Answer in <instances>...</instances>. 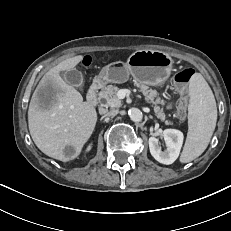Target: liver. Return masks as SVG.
<instances>
[{
    "mask_svg": "<svg viewBox=\"0 0 231 231\" xmlns=\"http://www.w3.org/2000/svg\"><path fill=\"white\" fill-rule=\"evenodd\" d=\"M82 55L67 58L51 68L37 86L28 110L30 135L47 156L66 162L77 156L92 135L97 113L82 95L60 76L74 69ZM67 148L74 153L68 156Z\"/></svg>",
    "mask_w": 231,
    "mask_h": 231,
    "instance_id": "obj_1",
    "label": "liver"
}]
</instances>
